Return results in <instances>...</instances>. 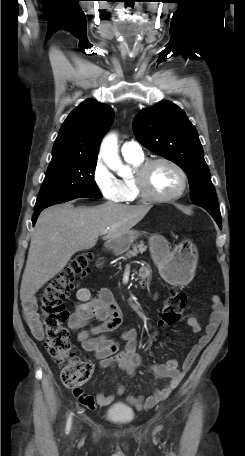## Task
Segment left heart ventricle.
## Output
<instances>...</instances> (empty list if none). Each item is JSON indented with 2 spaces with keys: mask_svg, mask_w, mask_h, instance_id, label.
<instances>
[{
  "mask_svg": "<svg viewBox=\"0 0 245 456\" xmlns=\"http://www.w3.org/2000/svg\"><path fill=\"white\" fill-rule=\"evenodd\" d=\"M181 185L180 176L171 166L158 163L149 173V186L151 191L160 196L175 193Z\"/></svg>",
  "mask_w": 245,
  "mask_h": 456,
  "instance_id": "b2bd125f",
  "label": "left heart ventricle"
}]
</instances>
